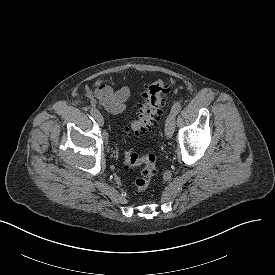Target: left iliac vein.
Returning <instances> with one entry per match:
<instances>
[{
	"mask_svg": "<svg viewBox=\"0 0 275 275\" xmlns=\"http://www.w3.org/2000/svg\"><path fill=\"white\" fill-rule=\"evenodd\" d=\"M175 120H176V114L171 112L167 119L165 124V134L168 138L172 137L174 131H175Z\"/></svg>",
	"mask_w": 275,
	"mask_h": 275,
	"instance_id": "1",
	"label": "left iliac vein"
}]
</instances>
